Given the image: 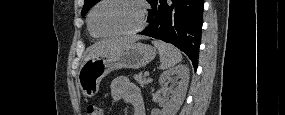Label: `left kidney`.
<instances>
[{"label": "left kidney", "instance_id": "5707ae66", "mask_svg": "<svg viewBox=\"0 0 285 115\" xmlns=\"http://www.w3.org/2000/svg\"><path fill=\"white\" fill-rule=\"evenodd\" d=\"M174 76L180 78V81L175 82V88L171 91V98L167 101L162 113H159L157 110H152L151 115H175L183 104L189 82L188 66L180 64L163 72L159 78V84L165 86L166 81Z\"/></svg>", "mask_w": 285, "mask_h": 115}]
</instances>
